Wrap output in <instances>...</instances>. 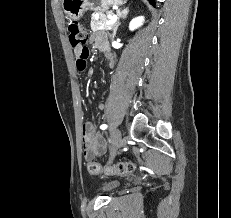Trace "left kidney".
<instances>
[{
    "label": "left kidney",
    "mask_w": 231,
    "mask_h": 218,
    "mask_svg": "<svg viewBox=\"0 0 231 218\" xmlns=\"http://www.w3.org/2000/svg\"><path fill=\"white\" fill-rule=\"evenodd\" d=\"M143 21H144L143 16H139V17L132 19V21L129 24V29L131 31L137 29L138 27H140L142 25Z\"/></svg>",
    "instance_id": "5707ae66"
}]
</instances>
